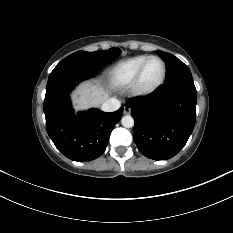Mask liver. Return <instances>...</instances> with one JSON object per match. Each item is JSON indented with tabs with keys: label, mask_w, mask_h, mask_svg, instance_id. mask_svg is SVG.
<instances>
[{
	"label": "liver",
	"mask_w": 233,
	"mask_h": 233,
	"mask_svg": "<svg viewBox=\"0 0 233 233\" xmlns=\"http://www.w3.org/2000/svg\"><path fill=\"white\" fill-rule=\"evenodd\" d=\"M72 98L76 110H85L91 107H98L105 102L108 98V92L96 82L86 81L76 88Z\"/></svg>",
	"instance_id": "liver-1"
}]
</instances>
